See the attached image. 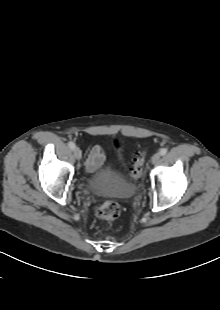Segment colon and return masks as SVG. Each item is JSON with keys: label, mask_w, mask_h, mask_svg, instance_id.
Listing matches in <instances>:
<instances>
[{"label": "colon", "mask_w": 220, "mask_h": 310, "mask_svg": "<svg viewBox=\"0 0 220 310\" xmlns=\"http://www.w3.org/2000/svg\"><path fill=\"white\" fill-rule=\"evenodd\" d=\"M145 155V150H139L136 152L130 171V176L132 179L138 180L142 176ZM120 213V205L112 200L104 202L96 210V216L102 220L117 219L120 216Z\"/></svg>", "instance_id": "obj_1"}]
</instances>
